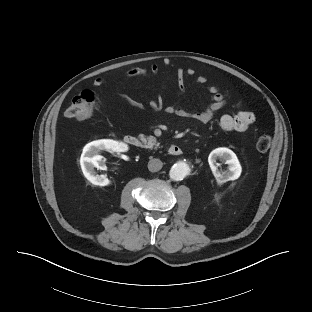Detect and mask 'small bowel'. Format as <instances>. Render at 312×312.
I'll list each match as a JSON object with an SVG mask.
<instances>
[{"mask_svg": "<svg viewBox=\"0 0 312 312\" xmlns=\"http://www.w3.org/2000/svg\"><path fill=\"white\" fill-rule=\"evenodd\" d=\"M150 72L154 76L159 75V67L157 64H152L150 67ZM192 71L184 72L183 70L177 71V83H178V95H182L185 92V81L188 77L192 76ZM149 75V71L144 67H134L128 70L125 73V78H138V77H147ZM206 78L204 76H199L196 78L195 83L197 85H204L206 83ZM105 83L104 78L98 77L94 80V86L99 87ZM208 91L210 93V103L208 106L201 111L197 112H189L184 110L183 108L171 104L165 108V111L168 114L176 115L178 117L189 118L196 120L201 123H208L211 121L214 116L223 108L225 105V100L221 94L218 93V90L215 86H209ZM122 99L135 108L138 111H143L145 109L144 105L128 96H122ZM152 107L154 109L161 108V102L159 100H155L152 102ZM255 117L252 112L249 111H241L235 115H223L220 118L219 125L225 131H238L242 132L249 128V126L254 122Z\"/></svg>", "mask_w": 312, "mask_h": 312, "instance_id": "c3829d8e", "label": "small bowel"}]
</instances>
